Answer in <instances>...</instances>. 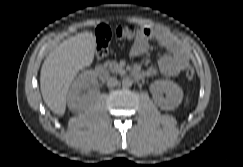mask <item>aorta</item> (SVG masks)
Listing matches in <instances>:
<instances>
[{"instance_id": "1", "label": "aorta", "mask_w": 243, "mask_h": 167, "mask_svg": "<svg viewBox=\"0 0 243 167\" xmlns=\"http://www.w3.org/2000/svg\"><path fill=\"white\" fill-rule=\"evenodd\" d=\"M132 84H133V80L131 78H129V77L123 78V80H122V86L124 88H129V87L132 86Z\"/></svg>"}]
</instances>
